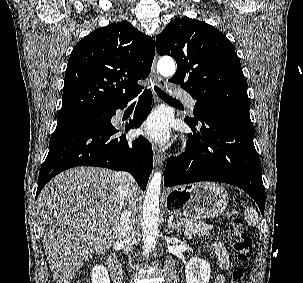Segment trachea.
<instances>
[{
    "label": "trachea",
    "mask_w": 303,
    "mask_h": 283,
    "mask_svg": "<svg viewBox=\"0 0 303 283\" xmlns=\"http://www.w3.org/2000/svg\"><path fill=\"white\" fill-rule=\"evenodd\" d=\"M154 89L160 98H162L166 101H170V102H179L178 100L170 97L168 94H166L164 91H162L159 87L154 86Z\"/></svg>",
    "instance_id": "1"
}]
</instances>
